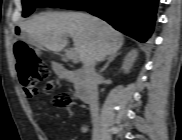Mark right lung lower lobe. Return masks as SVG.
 <instances>
[{
	"label": "right lung lower lobe",
	"instance_id": "1",
	"mask_svg": "<svg viewBox=\"0 0 182 140\" xmlns=\"http://www.w3.org/2000/svg\"><path fill=\"white\" fill-rule=\"evenodd\" d=\"M158 0H98L83 10L144 43L152 34Z\"/></svg>",
	"mask_w": 182,
	"mask_h": 140
}]
</instances>
